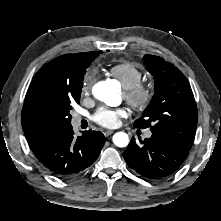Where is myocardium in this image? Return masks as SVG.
Masks as SVG:
<instances>
[{"label":"myocardium","instance_id":"f54148a6","mask_svg":"<svg viewBox=\"0 0 221 221\" xmlns=\"http://www.w3.org/2000/svg\"><path fill=\"white\" fill-rule=\"evenodd\" d=\"M153 95L152 86L142 82L133 87L124 88V97L126 101L138 111H143L148 108L152 102Z\"/></svg>","mask_w":221,"mask_h":221}]
</instances>
